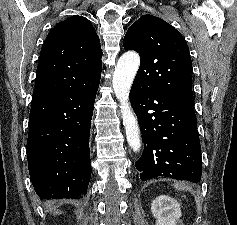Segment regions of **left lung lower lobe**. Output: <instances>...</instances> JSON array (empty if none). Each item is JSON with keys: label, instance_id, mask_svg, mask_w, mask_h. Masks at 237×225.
Masks as SVG:
<instances>
[{"label": "left lung lower lobe", "instance_id": "left-lung-lower-lobe-1", "mask_svg": "<svg viewBox=\"0 0 237 225\" xmlns=\"http://www.w3.org/2000/svg\"><path fill=\"white\" fill-rule=\"evenodd\" d=\"M130 101L144 143L135 163L140 178L164 176L198 182L202 161L193 97L148 92L133 84Z\"/></svg>", "mask_w": 237, "mask_h": 225}]
</instances>
